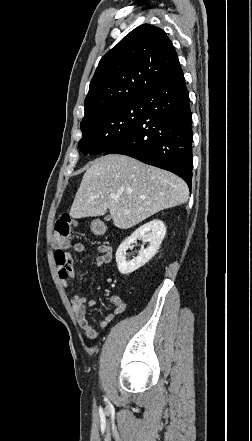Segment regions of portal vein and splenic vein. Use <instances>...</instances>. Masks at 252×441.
Returning a JSON list of instances; mask_svg holds the SVG:
<instances>
[{
	"label": "portal vein and splenic vein",
	"instance_id": "18ae733b",
	"mask_svg": "<svg viewBox=\"0 0 252 441\" xmlns=\"http://www.w3.org/2000/svg\"><path fill=\"white\" fill-rule=\"evenodd\" d=\"M111 197L114 199V198H116V196L115 195H111Z\"/></svg>",
	"mask_w": 252,
	"mask_h": 441
}]
</instances>
